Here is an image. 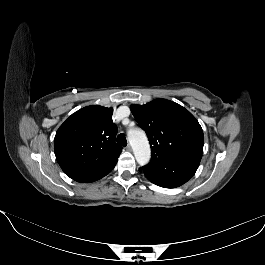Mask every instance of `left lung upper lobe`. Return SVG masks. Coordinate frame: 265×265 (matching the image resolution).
Listing matches in <instances>:
<instances>
[{
    "mask_svg": "<svg viewBox=\"0 0 265 265\" xmlns=\"http://www.w3.org/2000/svg\"><path fill=\"white\" fill-rule=\"evenodd\" d=\"M130 109L149 139L150 164L202 156V128L196 118L181 105L166 99H156L145 105L133 104Z\"/></svg>",
    "mask_w": 265,
    "mask_h": 265,
    "instance_id": "1",
    "label": "left lung upper lobe"
}]
</instances>
